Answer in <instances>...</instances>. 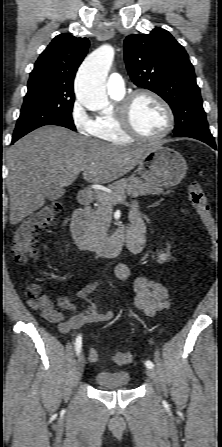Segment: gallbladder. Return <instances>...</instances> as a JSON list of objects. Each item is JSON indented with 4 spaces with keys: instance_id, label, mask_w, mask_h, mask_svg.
<instances>
[{
    "instance_id": "bac80fb5",
    "label": "gallbladder",
    "mask_w": 222,
    "mask_h": 447,
    "mask_svg": "<svg viewBox=\"0 0 222 447\" xmlns=\"http://www.w3.org/2000/svg\"><path fill=\"white\" fill-rule=\"evenodd\" d=\"M65 194V189L52 184L45 193V197L47 200L54 201L61 198Z\"/></svg>"
}]
</instances>
